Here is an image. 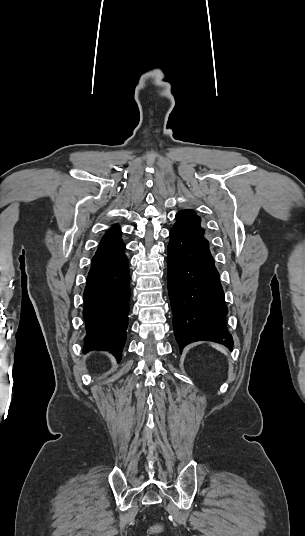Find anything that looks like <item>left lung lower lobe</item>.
<instances>
[{
	"label": "left lung lower lobe",
	"mask_w": 305,
	"mask_h": 536,
	"mask_svg": "<svg viewBox=\"0 0 305 536\" xmlns=\"http://www.w3.org/2000/svg\"><path fill=\"white\" fill-rule=\"evenodd\" d=\"M167 249L168 292L180 350L200 340L232 350L225 321L228 309L208 240L172 228Z\"/></svg>",
	"instance_id": "1"
}]
</instances>
